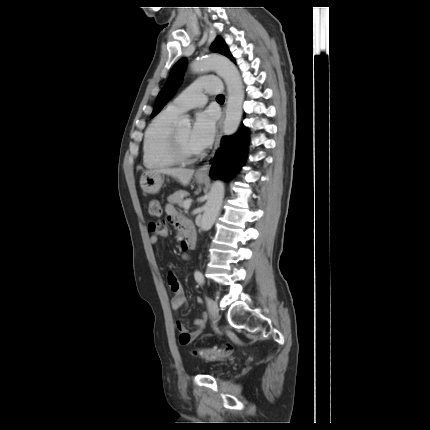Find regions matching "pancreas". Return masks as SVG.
<instances>
[{
	"label": "pancreas",
	"mask_w": 430,
	"mask_h": 430,
	"mask_svg": "<svg viewBox=\"0 0 430 430\" xmlns=\"http://www.w3.org/2000/svg\"><path fill=\"white\" fill-rule=\"evenodd\" d=\"M189 193L185 190H177L172 195H170L167 200L172 203L178 204L180 207L184 205L183 197L188 196Z\"/></svg>",
	"instance_id": "obj_1"
}]
</instances>
